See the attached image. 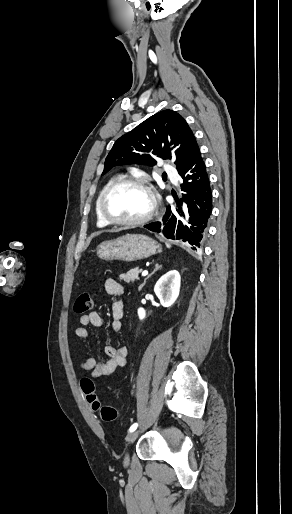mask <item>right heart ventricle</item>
I'll return each mask as SVG.
<instances>
[{
  "instance_id": "1",
  "label": "right heart ventricle",
  "mask_w": 292,
  "mask_h": 514,
  "mask_svg": "<svg viewBox=\"0 0 292 514\" xmlns=\"http://www.w3.org/2000/svg\"><path fill=\"white\" fill-rule=\"evenodd\" d=\"M112 181H109L97 194L95 198V204H94V210H95V217H96V224L98 227H107L109 223L102 217V215L99 212L98 203H99V197L102 193V191L105 189V187L111 183Z\"/></svg>"
}]
</instances>
